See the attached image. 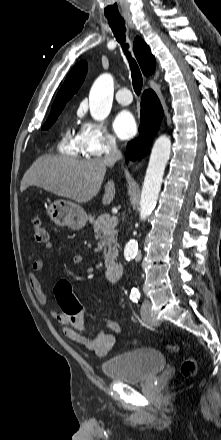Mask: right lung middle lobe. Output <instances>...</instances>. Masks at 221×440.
<instances>
[{
    "instance_id": "obj_1",
    "label": "right lung middle lobe",
    "mask_w": 221,
    "mask_h": 440,
    "mask_svg": "<svg viewBox=\"0 0 221 440\" xmlns=\"http://www.w3.org/2000/svg\"><path fill=\"white\" fill-rule=\"evenodd\" d=\"M64 106H59L56 108H53L51 110V113L48 117V120L46 121V123L43 125L42 129H48L49 127H51L53 125V123L56 121L58 115L62 112Z\"/></svg>"
}]
</instances>
